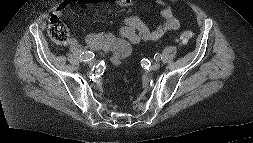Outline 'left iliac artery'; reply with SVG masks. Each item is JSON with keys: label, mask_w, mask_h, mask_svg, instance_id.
Instances as JSON below:
<instances>
[{"label": "left iliac artery", "mask_w": 253, "mask_h": 143, "mask_svg": "<svg viewBox=\"0 0 253 143\" xmlns=\"http://www.w3.org/2000/svg\"><path fill=\"white\" fill-rule=\"evenodd\" d=\"M154 59H155V60H160V59H161V55H160L159 53H156V54L154 55Z\"/></svg>", "instance_id": "44dca946"}]
</instances>
